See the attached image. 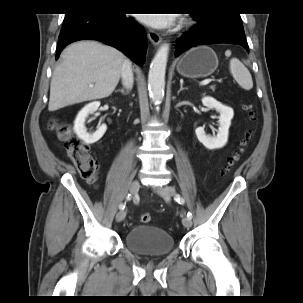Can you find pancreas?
<instances>
[{"label":"pancreas","mask_w":303,"mask_h":303,"mask_svg":"<svg viewBox=\"0 0 303 303\" xmlns=\"http://www.w3.org/2000/svg\"><path fill=\"white\" fill-rule=\"evenodd\" d=\"M210 88H211V90H212V91H214V90H215V87H214V86H211Z\"/></svg>","instance_id":"cf45deb5"}]
</instances>
